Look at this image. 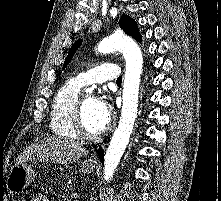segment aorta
<instances>
[{
  "label": "aorta",
  "instance_id": "1",
  "mask_svg": "<svg viewBox=\"0 0 221 201\" xmlns=\"http://www.w3.org/2000/svg\"><path fill=\"white\" fill-rule=\"evenodd\" d=\"M97 50L101 54L120 51L126 60L121 117L104 159V179L110 181L129 142L138 108V94L143 58L139 46L123 34L103 39Z\"/></svg>",
  "mask_w": 221,
  "mask_h": 201
}]
</instances>
